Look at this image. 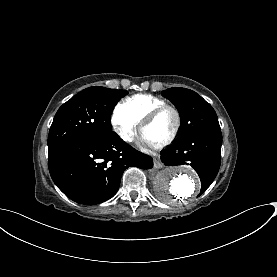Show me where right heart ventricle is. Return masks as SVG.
Segmentation results:
<instances>
[{
    "label": "right heart ventricle",
    "mask_w": 277,
    "mask_h": 277,
    "mask_svg": "<svg viewBox=\"0 0 277 277\" xmlns=\"http://www.w3.org/2000/svg\"><path fill=\"white\" fill-rule=\"evenodd\" d=\"M163 104H167L164 99L149 94H136L127 98L119 108L138 122H142L150 110Z\"/></svg>",
    "instance_id": "right-heart-ventricle-1"
}]
</instances>
